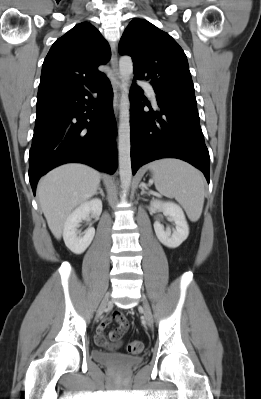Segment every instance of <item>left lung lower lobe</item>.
<instances>
[{
	"label": "left lung lower lobe",
	"instance_id": "obj_1",
	"mask_svg": "<svg viewBox=\"0 0 261 399\" xmlns=\"http://www.w3.org/2000/svg\"><path fill=\"white\" fill-rule=\"evenodd\" d=\"M133 84L132 103L141 99ZM159 112H145L140 103L130 109L131 165L133 174L142 165L160 158H178L200 169L209 183L210 157L199 123L196 100L156 96Z\"/></svg>",
	"mask_w": 261,
	"mask_h": 399
}]
</instances>
